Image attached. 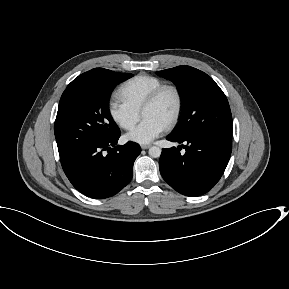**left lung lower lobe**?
<instances>
[{
  "label": "left lung lower lobe",
  "mask_w": 289,
  "mask_h": 289,
  "mask_svg": "<svg viewBox=\"0 0 289 289\" xmlns=\"http://www.w3.org/2000/svg\"><path fill=\"white\" fill-rule=\"evenodd\" d=\"M181 147L162 149L159 168L164 180L186 196H200L212 189L221 178L232 151L231 137L195 133L188 136L171 134L166 137Z\"/></svg>",
  "instance_id": "1"
}]
</instances>
